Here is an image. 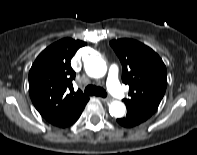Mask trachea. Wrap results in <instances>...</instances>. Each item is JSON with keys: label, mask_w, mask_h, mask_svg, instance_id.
Returning a JSON list of instances; mask_svg holds the SVG:
<instances>
[{"label": "trachea", "mask_w": 197, "mask_h": 155, "mask_svg": "<svg viewBox=\"0 0 197 155\" xmlns=\"http://www.w3.org/2000/svg\"><path fill=\"white\" fill-rule=\"evenodd\" d=\"M85 94L101 96V97H106L107 96V93H106V91L103 88L97 87L95 85H88L85 88Z\"/></svg>", "instance_id": "trachea-1"}]
</instances>
